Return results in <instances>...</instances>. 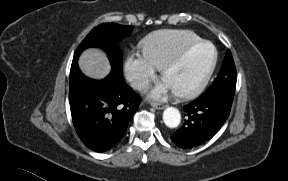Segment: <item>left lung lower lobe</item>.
<instances>
[{"label": "left lung lower lobe", "instance_id": "obj_1", "mask_svg": "<svg viewBox=\"0 0 288 181\" xmlns=\"http://www.w3.org/2000/svg\"><path fill=\"white\" fill-rule=\"evenodd\" d=\"M232 102L218 96L199 97L184 106L187 120L172 136L180 148L190 149L212 138L229 116Z\"/></svg>", "mask_w": 288, "mask_h": 181}]
</instances>
